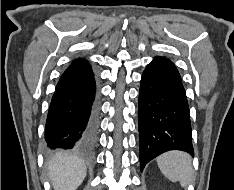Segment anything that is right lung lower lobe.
<instances>
[{
	"instance_id": "obj_1",
	"label": "right lung lower lobe",
	"mask_w": 234,
	"mask_h": 190,
	"mask_svg": "<svg viewBox=\"0 0 234 190\" xmlns=\"http://www.w3.org/2000/svg\"><path fill=\"white\" fill-rule=\"evenodd\" d=\"M97 114L92 67L85 59H77L60 77L52 97L45 126L47 147L72 149L92 144Z\"/></svg>"
}]
</instances>
